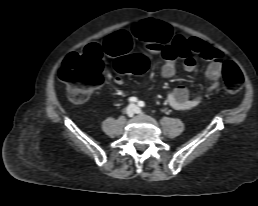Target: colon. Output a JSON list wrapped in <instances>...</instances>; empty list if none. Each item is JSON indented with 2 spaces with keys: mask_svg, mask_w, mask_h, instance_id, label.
<instances>
[{
  "mask_svg": "<svg viewBox=\"0 0 258 206\" xmlns=\"http://www.w3.org/2000/svg\"><path fill=\"white\" fill-rule=\"evenodd\" d=\"M162 29V26L153 29ZM148 68V60L142 55H130L118 58L116 69L120 74L144 73ZM222 78L226 91L237 92L242 83L243 75L232 61H225L222 68ZM58 78L66 85L69 99L75 103L86 101L94 89L102 85L105 78V65L102 51L98 47H90L82 54L69 55L58 72Z\"/></svg>",
  "mask_w": 258,
  "mask_h": 206,
  "instance_id": "5ec220e1",
  "label": "colon"
}]
</instances>
